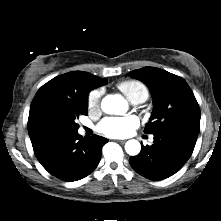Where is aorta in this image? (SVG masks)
Instances as JSON below:
<instances>
[{
    "label": "aorta",
    "instance_id": "1",
    "mask_svg": "<svg viewBox=\"0 0 221 221\" xmlns=\"http://www.w3.org/2000/svg\"><path fill=\"white\" fill-rule=\"evenodd\" d=\"M127 102L120 95H107L101 102L102 110L107 114H123L127 110ZM141 145L135 139L128 140L125 144V151L131 156L139 154Z\"/></svg>",
    "mask_w": 221,
    "mask_h": 221
}]
</instances>
